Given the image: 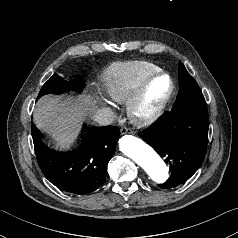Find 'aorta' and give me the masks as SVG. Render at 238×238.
Returning <instances> with one entry per match:
<instances>
[{"instance_id":"aorta-1","label":"aorta","mask_w":238,"mask_h":238,"mask_svg":"<svg viewBox=\"0 0 238 238\" xmlns=\"http://www.w3.org/2000/svg\"><path fill=\"white\" fill-rule=\"evenodd\" d=\"M120 151L134 160L150 178L162 183L168 178V168L161 157L141 139L132 136L124 135L119 140Z\"/></svg>"}]
</instances>
